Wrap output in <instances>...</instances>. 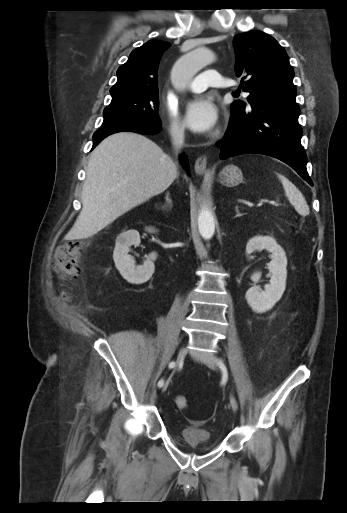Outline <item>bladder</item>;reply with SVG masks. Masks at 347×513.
Here are the masks:
<instances>
[{"instance_id":"31cf9c89","label":"bladder","mask_w":347,"mask_h":513,"mask_svg":"<svg viewBox=\"0 0 347 513\" xmlns=\"http://www.w3.org/2000/svg\"><path fill=\"white\" fill-rule=\"evenodd\" d=\"M180 436L184 444L192 449L207 452L217 447L211 432L204 428L186 426L181 429Z\"/></svg>"}]
</instances>
